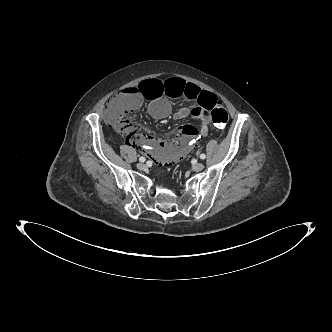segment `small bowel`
Here are the masks:
<instances>
[{
  "mask_svg": "<svg viewBox=\"0 0 332 332\" xmlns=\"http://www.w3.org/2000/svg\"><path fill=\"white\" fill-rule=\"evenodd\" d=\"M140 91L143 98L149 101V114L156 119H163L170 115L171 104L168 98L194 102L190 108H180L174 117L184 119L191 116L200 122L198 129L190 125L181 126L178 133L168 134L165 141L133 130L131 127L126 133L128 144L138 145L160 167L168 168L178 161L185 160L197 136L206 137L208 135L211 123L210 109L217 97L178 77L147 78L141 84Z\"/></svg>",
  "mask_w": 332,
  "mask_h": 332,
  "instance_id": "small-bowel-1",
  "label": "small bowel"
}]
</instances>
